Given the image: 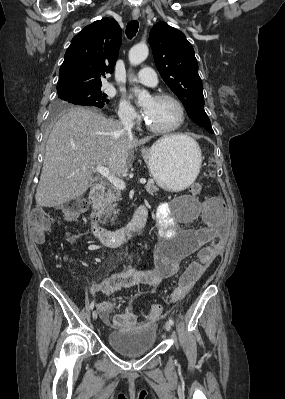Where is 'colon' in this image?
<instances>
[{
    "label": "colon",
    "mask_w": 285,
    "mask_h": 399,
    "mask_svg": "<svg viewBox=\"0 0 285 399\" xmlns=\"http://www.w3.org/2000/svg\"><path fill=\"white\" fill-rule=\"evenodd\" d=\"M189 190L192 196H198L202 191V187L200 184L194 183L190 186ZM85 209L86 202L80 199L74 200L62 208H53L49 210L33 209L28 220L33 239L38 242L42 241L50 230L54 219L63 217L65 219L75 220ZM219 246V242L207 244L202 248L199 260L188 264L180 279L178 287L179 295L182 296L189 292L195 281L206 271ZM161 312V305H153L146 310L145 315L149 319L154 320L159 317Z\"/></svg>",
    "instance_id": "5ec220e1"
}]
</instances>
